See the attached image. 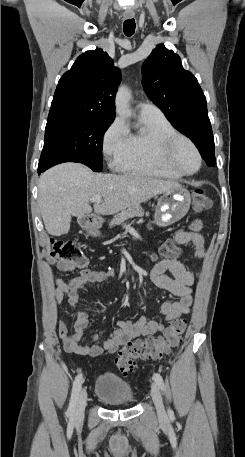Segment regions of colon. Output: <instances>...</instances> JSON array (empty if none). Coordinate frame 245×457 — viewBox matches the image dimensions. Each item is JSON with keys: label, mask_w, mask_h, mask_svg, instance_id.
Masks as SVG:
<instances>
[{"label": "colon", "mask_w": 245, "mask_h": 457, "mask_svg": "<svg viewBox=\"0 0 245 457\" xmlns=\"http://www.w3.org/2000/svg\"><path fill=\"white\" fill-rule=\"evenodd\" d=\"M193 204L196 211H204L211 206V199L202 190L197 189L193 194ZM51 256L73 262L79 267H85L87 260L80 244L73 240L52 239ZM179 249L173 240H168L159 249L158 256L171 258ZM187 328V321L182 318L174 319L161 335L149 336L144 340H134L126 343L115 357V365L119 372L126 376L136 369V361L140 359L159 360L168 355L182 340Z\"/></svg>", "instance_id": "colon-1"}]
</instances>
